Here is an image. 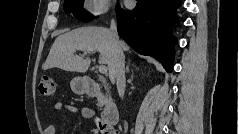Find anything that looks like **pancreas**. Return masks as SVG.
I'll list each match as a JSON object with an SVG mask.
<instances>
[{"label": "pancreas", "instance_id": "cf45deb5", "mask_svg": "<svg viewBox=\"0 0 239 134\" xmlns=\"http://www.w3.org/2000/svg\"><path fill=\"white\" fill-rule=\"evenodd\" d=\"M104 104H105V103H104L103 98H99V99H98V103H97L98 107L101 108Z\"/></svg>", "mask_w": 239, "mask_h": 134}]
</instances>
